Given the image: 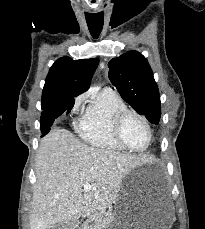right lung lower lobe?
Returning <instances> with one entry per match:
<instances>
[{
  "instance_id": "obj_1",
  "label": "right lung lower lobe",
  "mask_w": 205,
  "mask_h": 229,
  "mask_svg": "<svg viewBox=\"0 0 205 229\" xmlns=\"http://www.w3.org/2000/svg\"><path fill=\"white\" fill-rule=\"evenodd\" d=\"M74 102V98L64 99L54 103L42 112L40 120L41 137L45 136L50 131V127L57 117L65 111L67 114L71 111Z\"/></svg>"
}]
</instances>
